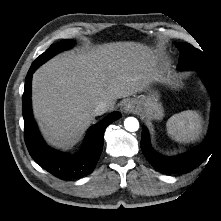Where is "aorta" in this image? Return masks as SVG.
Segmentation results:
<instances>
[{
  "label": "aorta",
  "instance_id": "762f6f07",
  "mask_svg": "<svg viewBox=\"0 0 221 221\" xmlns=\"http://www.w3.org/2000/svg\"><path fill=\"white\" fill-rule=\"evenodd\" d=\"M124 127L129 132H135L139 129V122L134 117H128L124 121Z\"/></svg>",
  "mask_w": 221,
  "mask_h": 221
}]
</instances>
